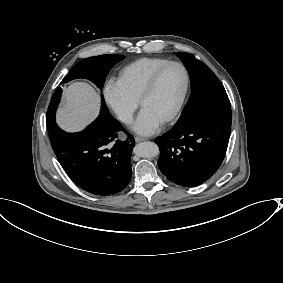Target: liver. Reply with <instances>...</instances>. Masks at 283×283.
<instances>
[{"label": "liver", "mask_w": 283, "mask_h": 283, "mask_svg": "<svg viewBox=\"0 0 283 283\" xmlns=\"http://www.w3.org/2000/svg\"><path fill=\"white\" fill-rule=\"evenodd\" d=\"M100 103V95L90 84L74 82L64 90L57 124L67 132L81 131L98 116Z\"/></svg>", "instance_id": "6515ba94"}]
</instances>
